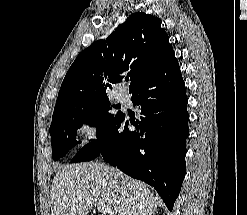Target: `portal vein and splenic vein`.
I'll use <instances>...</instances> for the list:
<instances>
[{
  "label": "portal vein and splenic vein",
  "instance_id": "obj_1",
  "mask_svg": "<svg viewBox=\"0 0 247 215\" xmlns=\"http://www.w3.org/2000/svg\"><path fill=\"white\" fill-rule=\"evenodd\" d=\"M97 209L103 212H108L106 206H104L102 203L97 204Z\"/></svg>",
  "mask_w": 247,
  "mask_h": 215
}]
</instances>
